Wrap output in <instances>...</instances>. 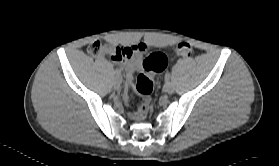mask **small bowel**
Masks as SVG:
<instances>
[{"label": "small bowel", "mask_w": 279, "mask_h": 166, "mask_svg": "<svg viewBox=\"0 0 279 166\" xmlns=\"http://www.w3.org/2000/svg\"><path fill=\"white\" fill-rule=\"evenodd\" d=\"M110 46H113V45H110ZM133 48L136 49V52L134 53L133 56H131L129 58L117 57L115 54H113L110 51H106L105 52L106 54H110L111 55L112 60L114 62L120 64L125 69V71H126V79H127L128 83H130L132 81L133 75H134L135 71L140 67V62H139L138 58L136 57V55L139 52L146 51L148 49V46L146 44H139V45L133 46ZM165 59H166V65H165V68H166L167 63H168V60H167L166 56H165ZM123 98H124L125 101H127L128 100V94L125 93L123 95Z\"/></svg>", "instance_id": "1"}]
</instances>
